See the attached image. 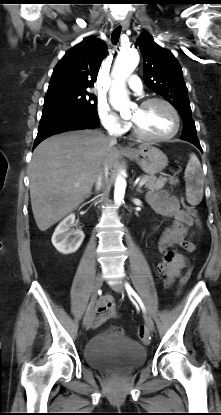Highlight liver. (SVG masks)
Instances as JSON below:
<instances>
[{
	"mask_svg": "<svg viewBox=\"0 0 221 415\" xmlns=\"http://www.w3.org/2000/svg\"><path fill=\"white\" fill-rule=\"evenodd\" d=\"M119 158L115 144L98 130L71 131L41 142L29 166L31 206L39 230L46 231L90 197L105 162L112 169Z\"/></svg>",
	"mask_w": 221,
	"mask_h": 415,
	"instance_id": "6515ba94",
	"label": "liver"
}]
</instances>
